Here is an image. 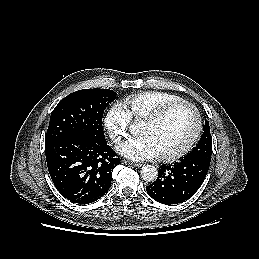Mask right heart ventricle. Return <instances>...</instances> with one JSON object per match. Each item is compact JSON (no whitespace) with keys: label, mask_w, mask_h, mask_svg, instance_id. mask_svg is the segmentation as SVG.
Returning a JSON list of instances; mask_svg holds the SVG:
<instances>
[{"label":"right heart ventricle","mask_w":259,"mask_h":259,"mask_svg":"<svg viewBox=\"0 0 259 259\" xmlns=\"http://www.w3.org/2000/svg\"><path fill=\"white\" fill-rule=\"evenodd\" d=\"M183 99L175 94L161 91H147L133 94L124 99L131 118L143 120L163 106Z\"/></svg>","instance_id":"1"}]
</instances>
